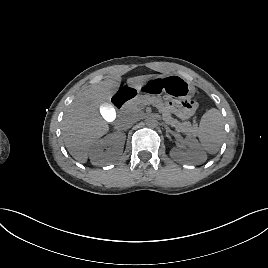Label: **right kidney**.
<instances>
[{
  "mask_svg": "<svg viewBox=\"0 0 268 268\" xmlns=\"http://www.w3.org/2000/svg\"><path fill=\"white\" fill-rule=\"evenodd\" d=\"M126 135L113 133L96 141L89 153L93 165L105 166L115 162L122 154Z\"/></svg>",
  "mask_w": 268,
  "mask_h": 268,
  "instance_id": "ca27d5eb",
  "label": "right kidney"
}]
</instances>
